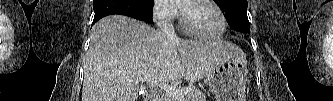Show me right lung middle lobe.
Instances as JSON below:
<instances>
[{
	"instance_id": "dd1d6c3e",
	"label": "right lung middle lobe",
	"mask_w": 333,
	"mask_h": 101,
	"mask_svg": "<svg viewBox=\"0 0 333 101\" xmlns=\"http://www.w3.org/2000/svg\"><path fill=\"white\" fill-rule=\"evenodd\" d=\"M144 11L152 18L154 0H137Z\"/></svg>"
}]
</instances>
